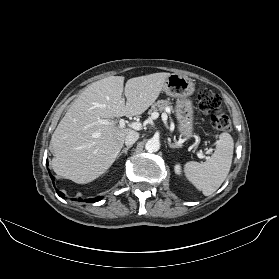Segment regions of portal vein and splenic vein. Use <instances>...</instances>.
I'll list each match as a JSON object with an SVG mask.
<instances>
[{"label": "portal vein and splenic vein", "mask_w": 279, "mask_h": 279, "mask_svg": "<svg viewBox=\"0 0 279 279\" xmlns=\"http://www.w3.org/2000/svg\"><path fill=\"white\" fill-rule=\"evenodd\" d=\"M159 117V114L158 113H153V115H152V118L153 119H157ZM162 119H163V121H166L167 120V116L166 115H163L162 116ZM100 124H109V121H107V120H99L98 121ZM126 121L124 120V119H120V121H119V128H124L125 126H126ZM128 126L130 127V128H133V129H135V130H141L142 129V124L141 123H139V122H131V123H128ZM197 156L199 157V158H204L205 157V155L202 153V152H198L197 153Z\"/></svg>", "instance_id": "18ae733b"}]
</instances>
